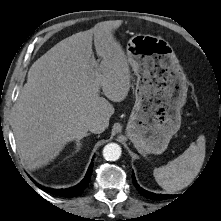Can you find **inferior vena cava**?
<instances>
[{
  "label": "inferior vena cava",
  "instance_id": "obj_1",
  "mask_svg": "<svg viewBox=\"0 0 221 221\" xmlns=\"http://www.w3.org/2000/svg\"><path fill=\"white\" fill-rule=\"evenodd\" d=\"M106 128V125L103 121L101 120H94L89 124V131L95 134H100L102 133Z\"/></svg>",
  "mask_w": 221,
  "mask_h": 221
}]
</instances>
